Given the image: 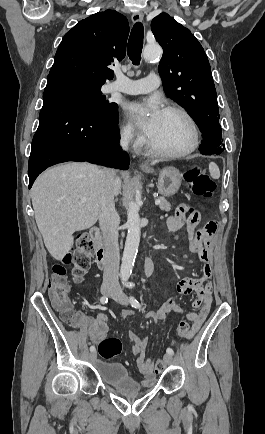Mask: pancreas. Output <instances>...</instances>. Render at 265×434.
Segmentation results:
<instances>
[{
  "mask_svg": "<svg viewBox=\"0 0 265 434\" xmlns=\"http://www.w3.org/2000/svg\"><path fill=\"white\" fill-rule=\"evenodd\" d=\"M157 200H160V208L161 210H165V212H170L171 210V204L165 200V198H157Z\"/></svg>",
  "mask_w": 265,
  "mask_h": 434,
  "instance_id": "1",
  "label": "pancreas"
}]
</instances>
